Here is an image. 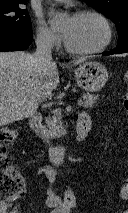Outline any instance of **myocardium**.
Masks as SVG:
<instances>
[{
  "mask_svg": "<svg viewBox=\"0 0 128 213\" xmlns=\"http://www.w3.org/2000/svg\"><path fill=\"white\" fill-rule=\"evenodd\" d=\"M84 16H94L103 23L105 30H106L105 40L103 41V43L100 46L93 48V49H76V48H73L72 46H70L69 43L67 42V40L64 39L65 49L67 50V52H69L71 54H75V55H92V54L100 53V52L104 51L111 44V42L113 40L114 32H113L112 24H111L110 20L107 18V16H105L103 13H101L97 10H93V9L79 10L74 13L73 18H80V17H84Z\"/></svg>",
  "mask_w": 128,
  "mask_h": 213,
  "instance_id": "1",
  "label": "myocardium"
}]
</instances>
